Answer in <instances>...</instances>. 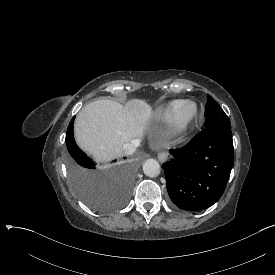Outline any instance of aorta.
Wrapping results in <instances>:
<instances>
[{
    "instance_id": "762f6f07",
    "label": "aorta",
    "mask_w": 275,
    "mask_h": 275,
    "mask_svg": "<svg viewBox=\"0 0 275 275\" xmlns=\"http://www.w3.org/2000/svg\"><path fill=\"white\" fill-rule=\"evenodd\" d=\"M160 165L156 159L148 158L143 162V172L145 175L154 177L159 174Z\"/></svg>"
}]
</instances>
